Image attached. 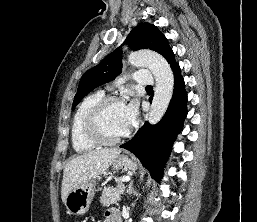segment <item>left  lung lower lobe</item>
<instances>
[{
    "instance_id": "1",
    "label": "left lung lower lobe",
    "mask_w": 257,
    "mask_h": 222,
    "mask_svg": "<svg viewBox=\"0 0 257 222\" xmlns=\"http://www.w3.org/2000/svg\"><path fill=\"white\" fill-rule=\"evenodd\" d=\"M170 66L174 73V92L164 117L156 125L146 122L131 140L120 146L139 158L157 181L187 116V94L180 67L175 60Z\"/></svg>"
}]
</instances>
